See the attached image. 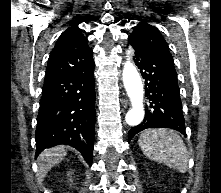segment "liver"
<instances>
[{
    "label": "liver",
    "instance_id": "6515ba94",
    "mask_svg": "<svg viewBox=\"0 0 221 193\" xmlns=\"http://www.w3.org/2000/svg\"><path fill=\"white\" fill-rule=\"evenodd\" d=\"M67 155L65 146L59 145L50 149L44 150L38 157V179L43 180L48 171L61 162Z\"/></svg>",
    "mask_w": 221,
    "mask_h": 193
}]
</instances>
